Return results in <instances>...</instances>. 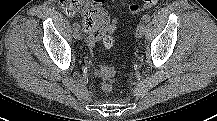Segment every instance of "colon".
<instances>
[{"instance_id": "5ec220e1", "label": "colon", "mask_w": 217, "mask_h": 121, "mask_svg": "<svg viewBox=\"0 0 217 121\" xmlns=\"http://www.w3.org/2000/svg\"><path fill=\"white\" fill-rule=\"evenodd\" d=\"M158 0H143V3H135L129 7L132 14H138L141 11L156 5ZM61 9L68 15L81 14L82 25L87 33L95 35L103 34L107 27V13L104 0H58ZM114 38L105 36L103 44L106 48L114 45ZM116 70L113 66L101 63L99 74L103 78L101 88L104 92L113 90V83L110 78L114 76Z\"/></svg>"}]
</instances>
